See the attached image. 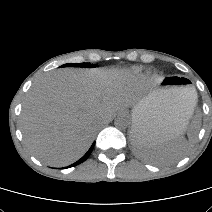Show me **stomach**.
Returning <instances> with one entry per match:
<instances>
[{"label":"stomach","mask_w":212,"mask_h":212,"mask_svg":"<svg viewBox=\"0 0 212 212\" xmlns=\"http://www.w3.org/2000/svg\"><path fill=\"white\" fill-rule=\"evenodd\" d=\"M181 81L182 78L179 77L161 80L159 82L161 86L135 105L132 111L131 138L139 121H142L147 132L155 137L169 140L183 133L185 126H182L178 114L177 92L188 87V85L181 84Z\"/></svg>","instance_id":"obj_1"}]
</instances>
